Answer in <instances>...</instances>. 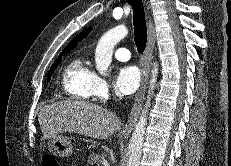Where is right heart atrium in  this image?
Segmentation results:
<instances>
[{
	"label": "right heart atrium",
	"mask_w": 231,
	"mask_h": 166,
	"mask_svg": "<svg viewBox=\"0 0 231 166\" xmlns=\"http://www.w3.org/2000/svg\"><path fill=\"white\" fill-rule=\"evenodd\" d=\"M111 87L107 80L99 75H95L93 87H92V95L93 97L99 99H106L111 94Z\"/></svg>",
	"instance_id": "right-heart-atrium-1"
}]
</instances>
